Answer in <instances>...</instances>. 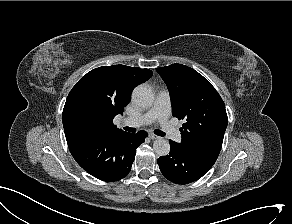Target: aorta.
<instances>
[{"label":"aorta","mask_w":292,"mask_h":224,"mask_svg":"<svg viewBox=\"0 0 292 224\" xmlns=\"http://www.w3.org/2000/svg\"><path fill=\"white\" fill-rule=\"evenodd\" d=\"M132 100L137 106L148 108L154 102V93L149 87L139 85L133 90ZM153 149L157 155L166 156L170 152L169 141L163 138L157 139L153 143Z\"/></svg>","instance_id":"obj_1"}]
</instances>
